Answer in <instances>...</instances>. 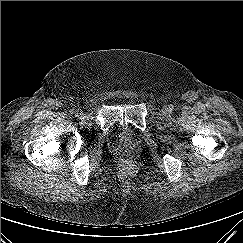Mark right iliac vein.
Listing matches in <instances>:
<instances>
[{
	"label": "right iliac vein",
	"instance_id": "1",
	"mask_svg": "<svg viewBox=\"0 0 243 243\" xmlns=\"http://www.w3.org/2000/svg\"><path fill=\"white\" fill-rule=\"evenodd\" d=\"M75 115H76L77 117H82L83 112L80 111V110H77V111L75 112Z\"/></svg>",
	"mask_w": 243,
	"mask_h": 243
}]
</instances>
